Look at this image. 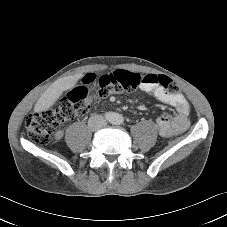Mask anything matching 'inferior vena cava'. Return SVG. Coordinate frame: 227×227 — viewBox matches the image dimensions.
<instances>
[{
    "instance_id": "1",
    "label": "inferior vena cava",
    "mask_w": 227,
    "mask_h": 227,
    "mask_svg": "<svg viewBox=\"0 0 227 227\" xmlns=\"http://www.w3.org/2000/svg\"><path fill=\"white\" fill-rule=\"evenodd\" d=\"M107 124L106 120L101 115H94L89 118L88 125L94 129L98 130Z\"/></svg>"
}]
</instances>
